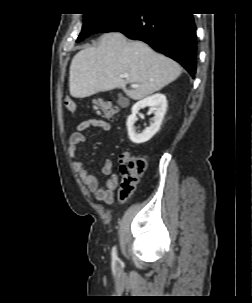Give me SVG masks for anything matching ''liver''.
I'll return each instance as SVG.
<instances>
[{
	"mask_svg": "<svg viewBox=\"0 0 252 303\" xmlns=\"http://www.w3.org/2000/svg\"><path fill=\"white\" fill-rule=\"evenodd\" d=\"M181 66L154 52L140 41H128L118 32L101 36L97 47H86L72 59L69 91L85 98L101 91L121 88L133 100H140L177 79ZM128 75L127 78L120 77ZM138 87L127 89V84Z\"/></svg>",
	"mask_w": 252,
	"mask_h": 303,
	"instance_id": "1",
	"label": "liver"
}]
</instances>
